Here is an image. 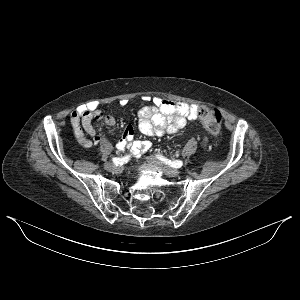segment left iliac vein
I'll return each instance as SVG.
<instances>
[{
	"label": "left iliac vein",
	"mask_w": 300,
	"mask_h": 300,
	"mask_svg": "<svg viewBox=\"0 0 300 300\" xmlns=\"http://www.w3.org/2000/svg\"><path fill=\"white\" fill-rule=\"evenodd\" d=\"M147 162L152 166L158 167L168 177H176L180 174L179 170L171 168L170 166H167V165L159 162L158 160H156L153 157H147Z\"/></svg>",
	"instance_id": "1"
}]
</instances>
